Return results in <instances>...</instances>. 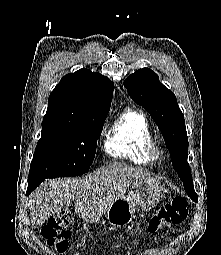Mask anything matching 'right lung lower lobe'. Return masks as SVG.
<instances>
[{"mask_svg": "<svg viewBox=\"0 0 221 255\" xmlns=\"http://www.w3.org/2000/svg\"><path fill=\"white\" fill-rule=\"evenodd\" d=\"M43 178L38 179H28V188L26 195H29L40 183L43 181Z\"/></svg>", "mask_w": 221, "mask_h": 255, "instance_id": "1", "label": "right lung lower lobe"}]
</instances>
